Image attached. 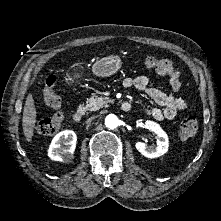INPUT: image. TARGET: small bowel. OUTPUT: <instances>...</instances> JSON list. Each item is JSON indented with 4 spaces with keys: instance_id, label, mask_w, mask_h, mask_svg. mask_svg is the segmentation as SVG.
Here are the masks:
<instances>
[{
    "instance_id": "1",
    "label": "small bowel",
    "mask_w": 221,
    "mask_h": 221,
    "mask_svg": "<svg viewBox=\"0 0 221 221\" xmlns=\"http://www.w3.org/2000/svg\"><path fill=\"white\" fill-rule=\"evenodd\" d=\"M170 85L175 92L183 90L179 71L176 77L170 79ZM123 86L144 92L159 106L145 111L149 117L155 120H173L180 111L188 108V103L184 98L167 94L157 88L151 87L146 76L127 77L123 80Z\"/></svg>"
}]
</instances>
